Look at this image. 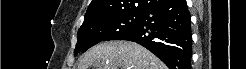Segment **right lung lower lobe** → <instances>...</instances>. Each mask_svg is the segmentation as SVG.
<instances>
[{"instance_id": "1", "label": "right lung lower lobe", "mask_w": 246, "mask_h": 69, "mask_svg": "<svg viewBox=\"0 0 246 69\" xmlns=\"http://www.w3.org/2000/svg\"><path fill=\"white\" fill-rule=\"evenodd\" d=\"M120 40L136 42L159 57L170 69H190L191 19L185 0H167L146 10L140 24Z\"/></svg>"}]
</instances>
